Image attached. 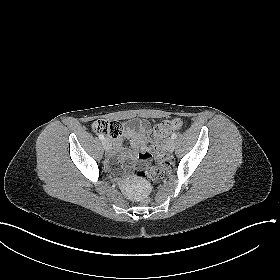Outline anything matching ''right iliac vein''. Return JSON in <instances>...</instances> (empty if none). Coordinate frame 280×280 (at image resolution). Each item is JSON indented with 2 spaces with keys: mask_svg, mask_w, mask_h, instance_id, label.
I'll list each match as a JSON object with an SVG mask.
<instances>
[{
  "mask_svg": "<svg viewBox=\"0 0 280 280\" xmlns=\"http://www.w3.org/2000/svg\"><path fill=\"white\" fill-rule=\"evenodd\" d=\"M102 143L106 151H109L111 149V142L109 139L105 138Z\"/></svg>",
  "mask_w": 280,
  "mask_h": 280,
  "instance_id": "right-iliac-vein-1",
  "label": "right iliac vein"
}]
</instances>
